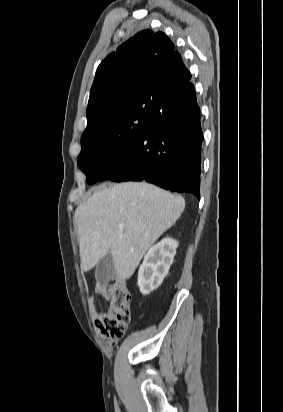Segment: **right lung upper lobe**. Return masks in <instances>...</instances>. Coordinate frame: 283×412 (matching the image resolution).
Returning <instances> with one entry per match:
<instances>
[{"mask_svg": "<svg viewBox=\"0 0 283 412\" xmlns=\"http://www.w3.org/2000/svg\"><path fill=\"white\" fill-rule=\"evenodd\" d=\"M190 78L180 54L164 33L139 32L99 65L83 135L135 104L150 100L164 104Z\"/></svg>", "mask_w": 283, "mask_h": 412, "instance_id": "right-lung-upper-lobe-1", "label": "right lung upper lobe"}]
</instances>
